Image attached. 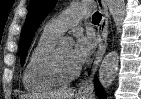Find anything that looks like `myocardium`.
<instances>
[{"label": "myocardium", "mask_w": 141, "mask_h": 99, "mask_svg": "<svg viewBox=\"0 0 141 99\" xmlns=\"http://www.w3.org/2000/svg\"><path fill=\"white\" fill-rule=\"evenodd\" d=\"M59 46H54L46 58L45 69L49 76L61 84L68 83L80 74V68L72 72H65L59 62Z\"/></svg>", "instance_id": "f54148a6"}]
</instances>
